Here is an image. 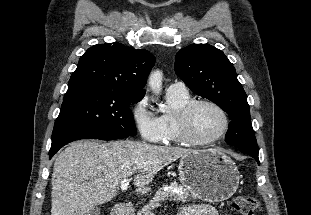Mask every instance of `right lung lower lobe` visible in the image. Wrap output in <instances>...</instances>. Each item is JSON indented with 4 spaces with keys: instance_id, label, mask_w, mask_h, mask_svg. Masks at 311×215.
<instances>
[{
    "instance_id": "1",
    "label": "right lung lower lobe",
    "mask_w": 311,
    "mask_h": 215,
    "mask_svg": "<svg viewBox=\"0 0 311 215\" xmlns=\"http://www.w3.org/2000/svg\"><path fill=\"white\" fill-rule=\"evenodd\" d=\"M128 136L129 135L127 134H120V133H106V134L99 133V134H77L73 136L60 138L52 142L51 149L49 151V158H51L61 147L75 140L87 138L100 139V140H114L126 138Z\"/></svg>"
}]
</instances>
